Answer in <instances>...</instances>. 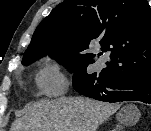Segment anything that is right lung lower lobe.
I'll list each match as a JSON object with an SVG mask.
<instances>
[{
	"mask_svg": "<svg viewBox=\"0 0 151 131\" xmlns=\"http://www.w3.org/2000/svg\"><path fill=\"white\" fill-rule=\"evenodd\" d=\"M80 94L106 102L127 100L151 104V73L131 76H97L73 79Z\"/></svg>",
	"mask_w": 151,
	"mask_h": 131,
	"instance_id": "1",
	"label": "right lung lower lobe"
}]
</instances>
